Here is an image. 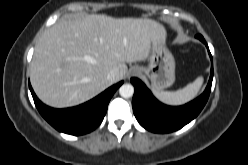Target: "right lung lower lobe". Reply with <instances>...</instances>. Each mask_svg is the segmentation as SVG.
I'll return each mask as SVG.
<instances>
[{
    "label": "right lung lower lobe",
    "instance_id": "obj_1",
    "mask_svg": "<svg viewBox=\"0 0 248 165\" xmlns=\"http://www.w3.org/2000/svg\"><path fill=\"white\" fill-rule=\"evenodd\" d=\"M122 81L105 90L94 99L72 108L54 109L43 104L29 85L34 103L43 116L55 129L71 135H83L96 129L102 122L109 101Z\"/></svg>",
    "mask_w": 248,
    "mask_h": 165
}]
</instances>
